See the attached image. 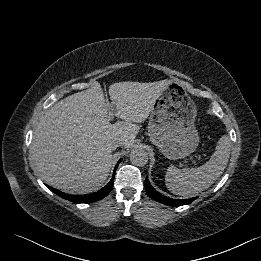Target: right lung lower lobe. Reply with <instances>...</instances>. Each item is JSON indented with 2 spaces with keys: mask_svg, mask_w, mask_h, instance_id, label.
Returning a JSON list of instances; mask_svg holds the SVG:
<instances>
[{
  "mask_svg": "<svg viewBox=\"0 0 261 261\" xmlns=\"http://www.w3.org/2000/svg\"><path fill=\"white\" fill-rule=\"evenodd\" d=\"M121 162V160H119V162L117 163L114 172H113V177L111 179V181L105 186L103 187L101 190L92 193V194H87V195H83V196H74V195H69L66 193H63L57 189H54L50 186H47L51 191H53L54 193H56L57 195H59L60 197L69 200L71 202L74 203H90V202H95L98 201L102 198H104L105 196L108 195V193L111 191L112 187H113V182H114V175L116 172V169L118 167V164Z\"/></svg>",
  "mask_w": 261,
  "mask_h": 261,
  "instance_id": "obj_1",
  "label": "right lung lower lobe"
}]
</instances>
